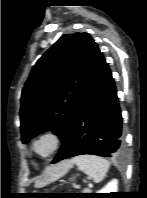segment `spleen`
<instances>
[{"label": "spleen", "instance_id": "spleen-1", "mask_svg": "<svg viewBox=\"0 0 147 198\" xmlns=\"http://www.w3.org/2000/svg\"><path fill=\"white\" fill-rule=\"evenodd\" d=\"M78 169L89 175L95 183L101 182L109 170L110 163L96 155H80L73 159Z\"/></svg>", "mask_w": 147, "mask_h": 198}]
</instances>
